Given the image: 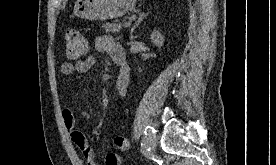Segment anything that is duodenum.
Instances as JSON below:
<instances>
[{
  "mask_svg": "<svg viewBox=\"0 0 276 165\" xmlns=\"http://www.w3.org/2000/svg\"><path fill=\"white\" fill-rule=\"evenodd\" d=\"M115 63L118 64V65L120 64V62L118 60H116Z\"/></svg>",
  "mask_w": 276,
  "mask_h": 165,
  "instance_id": "obj_1",
  "label": "duodenum"
}]
</instances>
